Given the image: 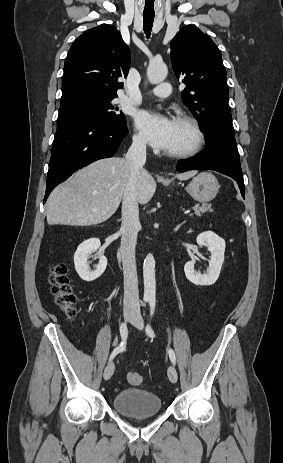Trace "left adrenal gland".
Wrapping results in <instances>:
<instances>
[{"mask_svg":"<svg viewBox=\"0 0 283 463\" xmlns=\"http://www.w3.org/2000/svg\"><path fill=\"white\" fill-rule=\"evenodd\" d=\"M184 223H185V221H183L182 223L178 224V225L176 226L175 230L178 231L179 228H180Z\"/></svg>","mask_w":283,"mask_h":463,"instance_id":"obj_1","label":"left adrenal gland"}]
</instances>
